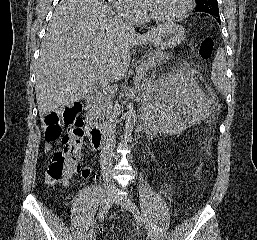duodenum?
I'll use <instances>...</instances> for the list:
<instances>
[{
  "instance_id": "obj_1",
  "label": "duodenum",
  "mask_w": 257,
  "mask_h": 240,
  "mask_svg": "<svg viewBox=\"0 0 257 240\" xmlns=\"http://www.w3.org/2000/svg\"><path fill=\"white\" fill-rule=\"evenodd\" d=\"M95 92L93 90L87 91L85 94L86 109L88 112L87 116V131L91 141V144L96 149H102L109 146L115 136V123L106 122L102 125H99L92 113V105L95 100Z\"/></svg>"
}]
</instances>
